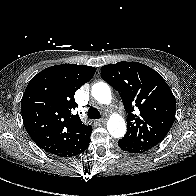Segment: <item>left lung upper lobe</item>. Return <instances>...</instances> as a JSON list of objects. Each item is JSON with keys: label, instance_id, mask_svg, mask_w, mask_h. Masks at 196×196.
Masks as SVG:
<instances>
[{"label": "left lung upper lobe", "instance_id": "5c2ea615", "mask_svg": "<svg viewBox=\"0 0 196 196\" xmlns=\"http://www.w3.org/2000/svg\"><path fill=\"white\" fill-rule=\"evenodd\" d=\"M101 76L119 92L127 112V132L123 138L147 149L160 143L172 127L176 113L175 97L162 76L139 62L105 65Z\"/></svg>", "mask_w": 196, "mask_h": 196}]
</instances>
